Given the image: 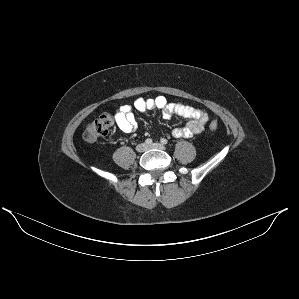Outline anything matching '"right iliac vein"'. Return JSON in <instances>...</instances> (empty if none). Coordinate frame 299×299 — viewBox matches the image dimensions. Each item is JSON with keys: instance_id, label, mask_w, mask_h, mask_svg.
I'll return each mask as SVG.
<instances>
[{"instance_id": "1", "label": "right iliac vein", "mask_w": 299, "mask_h": 299, "mask_svg": "<svg viewBox=\"0 0 299 299\" xmlns=\"http://www.w3.org/2000/svg\"><path fill=\"white\" fill-rule=\"evenodd\" d=\"M147 150V146L144 143H140L136 146V151L139 153H143Z\"/></svg>"}]
</instances>
